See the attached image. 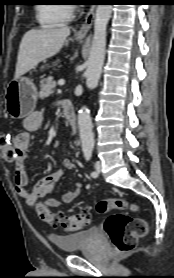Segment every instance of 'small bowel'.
<instances>
[{
	"instance_id": "obj_1",
	"label": "small bowel",
	"mask_w": 174,
	"mask_h": 278,
	"mask_svg": "<svg viewBox=\"0 0 174 278\" xmlns=\"http://www.w3.org/2000/svg\"><path fill=\"white\" fill-rule=\"evenodd\" d=\"M45 113L43 110L35 111L24 120L25 131L17 134L13 140L15 159L13 161L15 168V189L18 196L25 201L28 206H33L39 198L49 194L55 184L61 179L65 170L72 169L73 165L70 160L63 162V167L48 174L40 179L32 189H28L27 174V156L31 146V134L41 129L44 123ZM82 183H77L76 188L66 191L62 194L61 199L49 198L42 205L46 208H56L62 203L69 204L74 201L82 190Z\"/></svg>"
}]
</instances>
